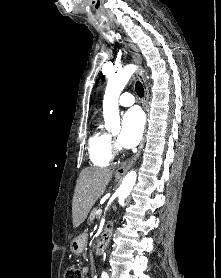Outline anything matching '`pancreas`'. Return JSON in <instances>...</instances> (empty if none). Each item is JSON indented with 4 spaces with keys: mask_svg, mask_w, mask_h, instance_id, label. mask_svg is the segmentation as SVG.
I'll return each instance as SVG.
<instances>
[{
    "mask_svg": "<svg viewBox=\"0 0 221 278\" xmlns=\"http://www.w3.org/2000/svg\"><path fill=\"white\" fill-rule=\"evenodd\" d=\"M97 208H94L92 211H91V214L89 216V222L92 223L94 218L97 217Z\"/></svg>",
    "mask_w": 221,
    "mask_h": 278,
    "instance_id": "1",
    "label": "pancreas"
}]
</instances>
